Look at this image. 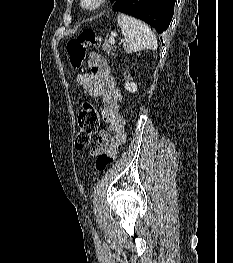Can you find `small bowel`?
<instances>
[{
  "mask_svg": "<svg viewBox=\"0 0 233 263\" xmlns=\"http://www.w3.org/2000/svg\"><path fill=\"white\" fill-rule=\"evenodd\" d=\"M91 74H78L76 81L93 97L102 99V117L108 129L99 133L98 143L93 150L96 155L117 154L120 146L126 142L125 120L120 111L122 94L115 78L110 74L107 60L93 52L88 60Z\"/></svg>",
  "mask_w": 233,
  "mask_h": 263,
  "instance_id": "c3829d8e",
  "label": "small bowel"
}]
</instances>
